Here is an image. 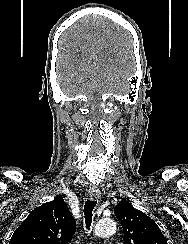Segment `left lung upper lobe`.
I'll return each mask as SVG.
<instances>
[{
	"mask_svg": "<svg viewBox=\"0 0 188 244\" xmlns=\"http://www.w3.org/2000/svg\"><path fill=\"white\" fill-rule=\"evenodd\" d=\"M114 212L122 225L125 244H167L154 220L128 201H120Z\"/></svg>",
	"mask_w": 188,
	"mask_h": 244,
	"instance_id": "5c2ea615",
	"label": "left lung upper lobe"
}]
</instances>
